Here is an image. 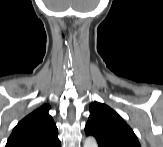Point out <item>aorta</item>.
Masks as SVG:
<instances>
[{
	"mask_svg": "<svg viewBox=\"0 0 163 147\" xmlns=\"http://www.w3.org/2000/svg\"><path fill=\"white\" fill-rule=\"evenodd\" d=\"M97 141L94 137H87L84 141V147H97Z\"/></svg>",
	"mask_w": 163,
	"mask_h": 147,
	"instance_id": "obj_1",
	"label": "aorta"
}]
</instances>
